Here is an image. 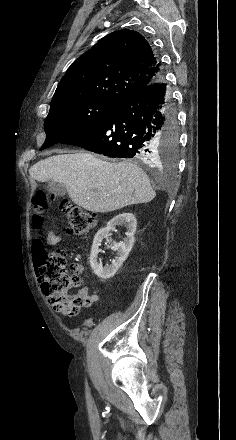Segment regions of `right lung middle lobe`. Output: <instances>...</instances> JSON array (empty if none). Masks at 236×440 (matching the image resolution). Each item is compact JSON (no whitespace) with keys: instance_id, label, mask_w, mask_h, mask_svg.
I'll return each instance as SVG.
<instances>
[{"instance_id":"dd1d6c3e","label":"right lung middle lobe","mask_w":236,"mask_h":440,"mask_svg":"<svg viewBox=\"0 0 236 440\" xmlns=\"http://www.w3.org/2000/svg\"><path fill=\"white\" fill-rule=\"evenodd\" d=\"M119 104L105 103L92 99L51 103L48 117L44 123L46 141L40 150L79 134L103 119ZM158 146L163 159L174 163L178 146L177 129L161 133Z\"/></svg>"}]
</instances>
